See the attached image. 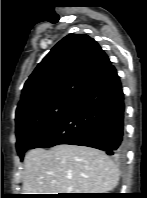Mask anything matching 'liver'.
<instances>
[{
  "mask_svg": "<svg viewBox=\"0 0 147 198\" xmlns=\"http://www.w3.org/2000/svg\"><path fill=\"white\" fill-rule=\"evenodd\" d=\"M24 194L105 193L119 181L112 159L98 149L60 144L30 150L24 159Z\"/></svg>",
  "mask_w": 147,
  "mask_h": 198,
  "instance_id": "1",
  "label": "liver"
}]
</instances>
